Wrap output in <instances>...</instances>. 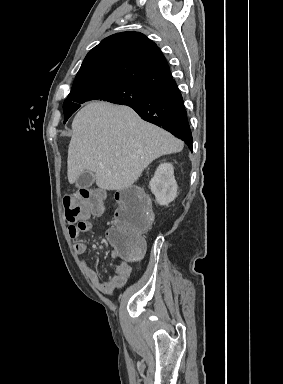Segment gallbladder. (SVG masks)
I'll use <instances>...</instances> for the list:
<instances>
[{"label": "gallbladder", "instance_id": "1", "mask_svg": "<svg viewBox=\"0 0 283 384\" xmlns=\"http://www.w3.org/2000/svg\"><path fill=\"white\" fill-rule=\"evenodd\" d=\"M94 180V176L92 172H84V174H81L79 176L78 180H76V186H87V188H90L92 186Z\"/></svg>", "mask_w": 283, "mask_h": 384}]
</instances>
